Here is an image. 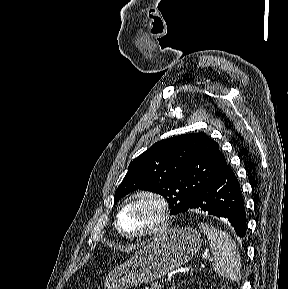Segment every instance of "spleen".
Returning a JSON list of instances; mask_svg holds the SVG:
<instances>
[{
  "label": "spleen",
  "instance_id": "spleen-1",
  "mask_svg": "<svg viewBox=\"0 0 288 289\" xmlns=\"http://www.w3.org/2000/svg\"><path fill=\"white\" fill-rule=\"evenodd\" d=\"M199 228L203 230L209 241L214 260L212 267L214 271L235 282L241 280V258L229 234L208 224L200 223Z\"/></svg>",
  "mask_w": 288,
  "mask_h": 289
}]
</instances>
